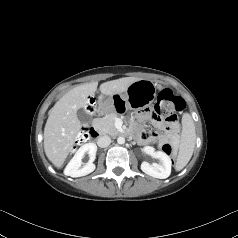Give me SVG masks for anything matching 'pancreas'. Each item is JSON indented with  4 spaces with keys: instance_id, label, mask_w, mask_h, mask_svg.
<instances>
[{
    "instance_id": "cf45deb5",
    "label": "pancreas",
    "mask_w": 238,
    "mask_h": 238,
    "mask_svg": "<svg viewBox=\"0 0 238 238\" xmlns=\"http://www.w3.org/2000/svg\"><path fill=\"white\" fill-rule=\"evenodd\" d=\"M115 118L116 115L111 113L106 115L103 118H96L93 121V126L96 130L103 134L116 135L118 130L115 127Z\"/></svg>"
}]
</instances>
